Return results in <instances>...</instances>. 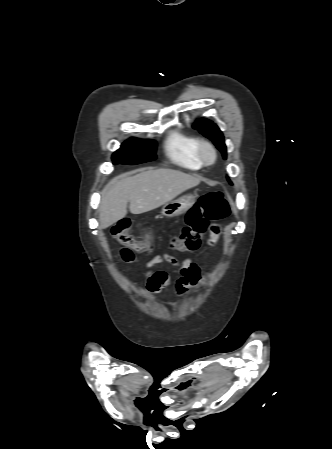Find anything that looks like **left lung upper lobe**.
Instances as JSON below:
<instances>
[{"mask_svg": "<svg viewBox=\"0 0 332 449\" xmlns=\"http://www.w3.org/2000/svg\"><path fill=\"white\" fill-rule=\"evenodd\" d=\"M193 127L198 129L201 134L213 141L216 147L222 152L223 157L226 159V146L224 143V137L220 129L212 121L206 119H200L194 123ZM230 184H232L230 182Z\"/></svg>", "mask_w": 332, "mask_h": 449, "instance_id": "left-lung-upper-lobe-1", "label": "left lung upper lobe"}]
</instances>
